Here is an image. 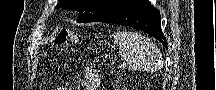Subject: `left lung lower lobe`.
I'll list each match as a JSON object with an SVG mask.
<instances>
[{"label":"left lung lower lobe","instance_id":"left-lung-lower-lobe-1","mask_svg":"<svg viewBox=\"0 0 216 90\" xmlns=\"http://www.w3.org/2000/svg\"><path fill=\"white\" fill-rule=\"evenodd\" d=\"M94 22L114 23L140 29L155 37L167 48V41L160 26V12L149 0H129Z\"/></svg>","mask_w":216,"mask_h":90}]
</instances>
